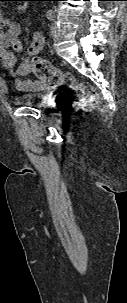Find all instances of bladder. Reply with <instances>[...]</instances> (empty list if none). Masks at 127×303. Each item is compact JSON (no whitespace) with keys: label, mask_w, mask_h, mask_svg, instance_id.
<instances>
[{"label":"bladder","mask_w":127,"mask_h":303,"mask_svg":"<svg viewBox=\"0 0 127 303\" xmlns=\"http://www.w3.org/2000/svg\"><path fill=\"white\" fill-rule=\"evenodd\" d=\"M15 103L22 106H30L36 108H44L46 103L43 101L40 94L31 93L23 94L15 99Z\"/></svg>","instance_id":"1"}]
</instances>
